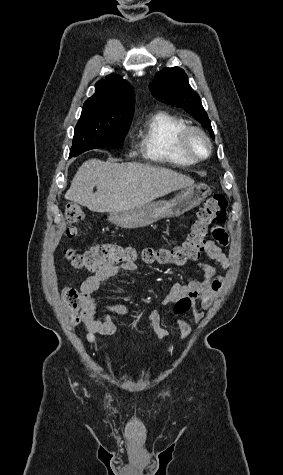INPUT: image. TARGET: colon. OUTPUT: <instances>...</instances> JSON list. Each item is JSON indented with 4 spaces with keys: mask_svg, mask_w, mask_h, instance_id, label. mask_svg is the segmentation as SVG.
<instances>
[{
    "mask_svg": "<svg viewBox=\"0 0 283 475\" xmlns=\"http://www.w3.org/2000/svg\"><path fill=\"white\" fill-rule=\"evenodd\" d=\"M65 218L68 223L66 234L74 237L78 234L77 224L84 219L82 209L73 203L66 207ZM227 219V199L224 194H217L209 197L199 208L196 219L192 222L190 231L186 238L172 248L151 249L146 248L138 253L132 247H122L115 244H98L90 247L85 252H78L74 248L68 247L64 250V257L76 268L83 270H94L109 264H125L133 266L136 260L142 259L146 263H172L181 266L187 262L196 261L201 252L205 249L206 238L209 229L213 224L224 223ZM74 290L65 295L66 302L70 301L72 313L78 312V307L83 304V299L76 297ZM191 298L180 299L178 305L172 307L174 314H182L190 306ZM75 325L79 324L78 318L70 316Z\"/></svg>",
    "mask_w": 283,
    "mask_h": 475,
    "instance_id": "obj_1",
    "label": "colon"
}]
</instances>
